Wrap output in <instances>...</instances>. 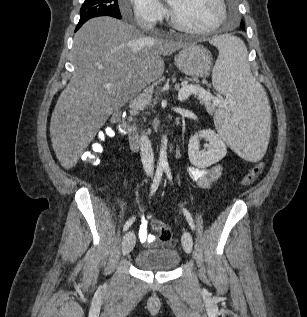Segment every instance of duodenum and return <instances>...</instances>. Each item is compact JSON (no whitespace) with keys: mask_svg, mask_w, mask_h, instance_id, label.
I'll list each match as a JSON object with an SVG mask.
<instances>
[{"mask_svg":"<svg viewBox=\"0 0 307 317\" xmlns=\"http://www.w3.org/2000/svg\"><path fill=\"white\" fill-rule=\"evenodd\" d=\"M122 121H128L127 119H123ZM129 126H128V138L130 141V144L132 146L133 149H138L139 144H140V133L138 131V128L135 126V124H133L132 122H129Z\"/></svg>","mask_w":307,"mask_h":317,"instance_id":"410a0bca","label":"duodenum"}]
</instances>
